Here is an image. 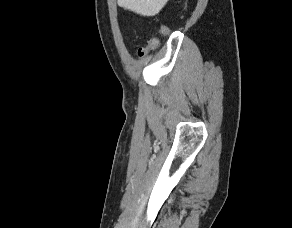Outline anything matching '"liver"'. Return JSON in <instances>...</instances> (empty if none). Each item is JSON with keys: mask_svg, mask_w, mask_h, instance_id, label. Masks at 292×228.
<instances>
[{"mask_svg": "<svg viewBox=\"0 0 292 228\" xmlns=\"http://www.w3.org/2000/svg\"><path fill=\"white\" fill-rule=\"evenodd\" d=\"M118 5L142 16H154L168 0H117Z\"/></svg>", "mask_w": 292, "mask_h": 228, "instance_id": "liver-1", "label": "liver"}]
</instances>
